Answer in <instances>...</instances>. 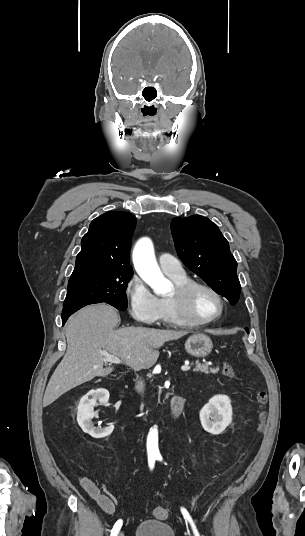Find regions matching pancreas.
Wrapping results in <instances>:
<instances>
[{"mask_svg": "<svg viewBox=\"0 0 305 536\" xmlns=\"http://www.w3.org/2000/svg\"><path fill=\"white\" fill-rule=\"evenodd\" d=\"M193 372H204V374H218L219 368H211V364H199V362H196V368H194Z\"/></svg>", "mask_w": 305, "mask_h": 536, "instance_id": "pancreas-1", "label": "pancreas"}]
</instances>
